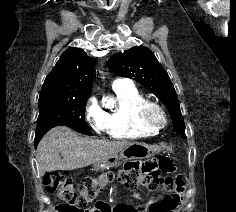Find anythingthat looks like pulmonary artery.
<instances>
[{"instance_id":"obj_1","label":"pulmonary artery","mask_w":236,"mask_h":212,"mask_svg":"<svg viewBox=\"0 0 236 212\" xmlns=\"http://www.w3.org/2000/svg\"><path fill=\"white\" fill-rule=\"evenodd\" d=\"M127 83H129V81H128L127 79L118 78V79H115V80L112 82V87L124 85V84H127Z\"/></svg>"}]
</instances>
